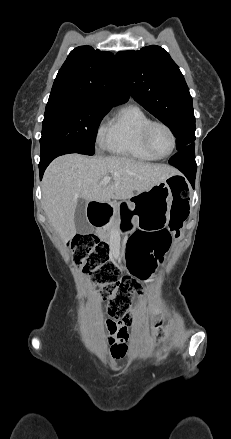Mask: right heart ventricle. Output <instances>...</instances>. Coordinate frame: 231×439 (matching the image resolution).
<instances>
[{
    "label": "right heart ventricle",
    "mask_w": 231,
    "mask_h": 439,
    "mask_svg": "<svg viewBox=\"0 0 231 439\" xmlns=\"http://www.w3.org/2000/svg\"><path fill=\"white\" fill-rule=\"evenodd\" d=\"M150 121V116L138 105L120 108L104 128L102 147L112 154L135 160H156L143 142V132Z\"/></svg>",
    "instance_id": "right-heart-ventricle-1"
}]
</instances>
